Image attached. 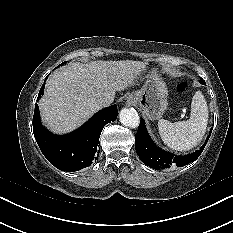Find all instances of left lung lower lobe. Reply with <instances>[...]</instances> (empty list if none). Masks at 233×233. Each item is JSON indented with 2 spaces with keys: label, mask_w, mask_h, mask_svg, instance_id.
Returning a JSON list of instances; mask_svg holds the SVG:
<instances>
[{
  "label": "left lung lower lobe",
  "mask_w": 233,
  "mask_h": 233,
  "mask_svg": "<svg viewBox=\"0 0 233 233\" xmlns=\"http://www.w3.org/2000/svg\"><path fill=\"white\" fill-rule=\"evenodd\" d=\"M212 129L209 136L207 137V141L211 135ZM205 145H203L200 150H197L191 154H187L184 156H175L172 153L158 148L152 142L146 131L145 122L142 118L141 124L135 136V149L139 158L142 160L143 163L156 170L167 169L174 165L178 167L188 165L200 156L203 149L205 148Z\"/></svg>",
  "instance_id": "0a47b994"
}]
</instances>
